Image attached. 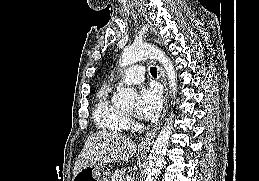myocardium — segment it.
Listing matches in <instances>:
<instances>
[{"instance_id": "obj_1", "label": "myocardium", "mask_w": 259, "mask_h": 181, "mask_svg": "<svg viewBox=\"0 0 259 181\" xmlns=\"http://www.w3.org/2000/svg\"><path fill=\"white\" fill-rule=\"evenodd\" d=\"M127 116H130L131 114L130 113H126Z\"/></svg>"}]
</instances>
